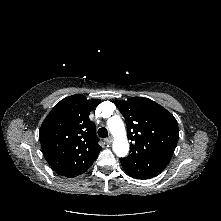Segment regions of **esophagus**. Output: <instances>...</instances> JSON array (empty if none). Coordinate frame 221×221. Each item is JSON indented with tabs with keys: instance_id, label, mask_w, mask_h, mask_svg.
Here are the masks:
<instances>
[{
	"instance_id": "obj_1",
	"label": "esophagus",
	"mask_w": 221,
	"mask_h": 221,
	"mask_svg": "<svg viewBox=\"0 0 221 221\" xmlns=\"http://www.w3.org/2000/svg\"><path fill=\"white\" fill-rule=\"evenodd\" d=\"M113 141L112 137H108L105 139L106 144H111Z\"/></svg>"
}]
</instances>
